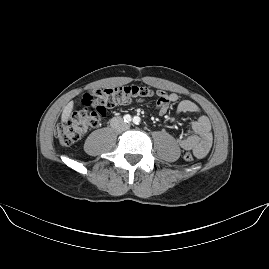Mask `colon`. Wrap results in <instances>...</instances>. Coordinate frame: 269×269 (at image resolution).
I'll return each instance as SVG.
<instances>
[{"instance_id":"obj_1","label":"colon","mask_w":269,"mask_h":269,"mask_svg":"<svg viewBox=\"0 0 269 269\" xmlns=\"http://www.w3.org/2000/svg\"><path fill=\"white\" fill-rule=\"evenodd\" d=\"M153 95L151 88L137 85L106 89L87 88L84 92L85 108L62 119L56 125L55 135L62 145H73L85 133L99 125L100 119L109 108L127 104L134 98H149ZM184 158L187 162L195 160V156L190 152H185Z\"/></svg>"}]
</instances>
